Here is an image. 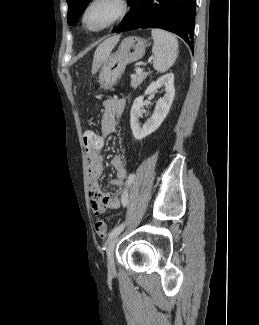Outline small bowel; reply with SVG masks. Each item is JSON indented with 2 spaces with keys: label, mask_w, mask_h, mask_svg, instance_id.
<instances>
[{
  "label": "small bowel",
  "mask_w": 259,
  "mask_h": 325,
  "mask_svg": "<svg viewBox=\"0 0 259 325\" xmlns=\"http://www.w3.org/2000/svg\"><path fill=\"white\" fill-rule=\"evenodd\" d=\"M125 104V99L122 98H111L104 102L100 134H96L97 138L103 139V147L105 138L115 132L118 120L124 111ZM102 149L85 148L89 175V202L92 211L97 214L103 213L106 210H116L120 207L124 191V182L128 177L124 158L120 155H116L111 160V165L115 170V177L110 180V184L116 187V191L110 194L100 189L98 179L104 171L100 155Z\"/></svg>",
  "instance_id": "small-bowel-1"
}]
</instances>
